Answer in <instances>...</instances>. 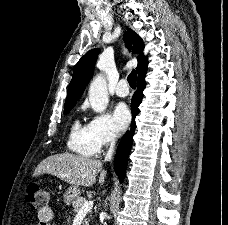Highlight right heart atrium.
<instances>
[{
    "label": "right heart atrium",
    "instance_id": "right-heart-atrium-1",
    "mask_svg": "<svg viewBox=\"0 0 228 225\" xmlns=\"http://www.w3.org/2000/svg\"><path fill=\"white\" fill-rule=\"evenodd\" d=\"M88 109L87 103L82 105V110ZM86 128L99 148L112 144L118 137L110 117L106 113L92 114Z\"/></svg>",
    "mask_w": 228,
    "mask_h": 225
}]
</instances>
